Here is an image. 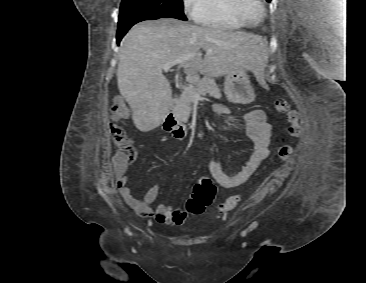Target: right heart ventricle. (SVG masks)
<instances>
[{"label":"right heart ventricle","mask_w":366,"mask_h":283,"mask_svg":"<svg viewBox=\"0 0 366 283\" xmlns=\"http://www.w3.org/2000/svg\"><path fill=\"white\" fill-rule=\"evenodd\" d=\"M198 23L221 30H239L244 27L234 16L231 0H206Z\"/></svg>","instance_id":"1"}]
</instances>
